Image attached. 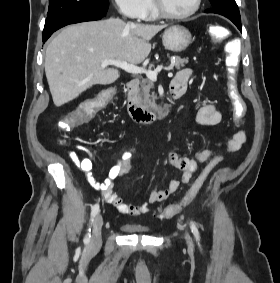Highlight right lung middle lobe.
I'll list each match as a JSON object with an SVG mask.
<instances>
[{
  "mask_svg": "<svg viewBox=\"0 0 280 283\" xmlns=\"http://www.w3.org/2000/svg\"><path fill=\"white\" fill-rule=\"evenodd\" d=\"M109 0H50L46 21L63 16L104 17Z\"/></svg>",
  "mask_w": 280,
  "mask_h": 283,
  "instance_id": "1",
  "label": "right lung middle lobe"
}]
</instances>
